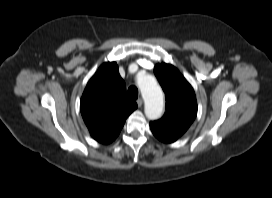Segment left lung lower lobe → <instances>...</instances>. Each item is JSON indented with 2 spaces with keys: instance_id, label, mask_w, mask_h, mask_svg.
<instances>
[{
  "instance_id": "obj_1",
  "label": "left lung lower lobe",
  "mask_w": 272,
  "mask_h": 198,
  "mask_svg": "<svg viewBox=\"0 0 272 198\" xmlns=\"http://www.w3.org/2000/svg\"><path fill=\"white\" fill-rule=\"evenodd\" d=\"M150 127H151V131L154 134V136L162 142L172 143L178 139L177 136L167 133V132H165L155 126L150 125Z\"/></svg>"
}]
</instances>
